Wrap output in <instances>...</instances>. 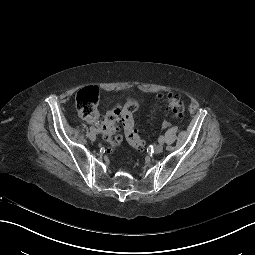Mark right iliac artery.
<instances>
[{"instance_id":"obj_1","label":"right iliac artery","mask_w":255,"mask_h":255,"mask_svg":"<svg viewBox=\"0 0 255 255\" xmlns=\"http://www.w3.org/2000/svg\"><path fill=\"white\" fill-rule=\"evenodd\" d=\"M90 131H91V132H95V133L97 132L96 128L93 127V126L90 127Z\"/></svg>"}]
</instances>
